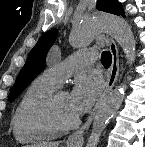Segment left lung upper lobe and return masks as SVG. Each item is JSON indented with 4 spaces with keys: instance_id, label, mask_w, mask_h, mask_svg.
I'll return each instance as SVG.
<instances>
[{
    "instance_id": "5c2ea615",
    "label": "left lung upper lobe",
    "mask_w": 145,
    "mask_h": 147,
    "mask_svg": "<svg viewBox=\"0 0 145 147\" xmlns=\"http://www.w3.org/2000/svg\"><path fill=\"white\" fill-rule=\"evenodd\" d=\"M97 10L124 16L122 4L118 0H97ZM57 37V30L43 34L35 47L30 51L25 65L19 72L13 85L9 102H12L45 68L48 50Z\"/></svg>"
}]
</instances>
